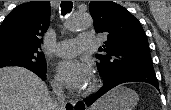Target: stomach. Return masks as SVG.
<instances>
[{
    "label": "stomach",
    "instance_id": "obj_1",
    "mask_svg": "<svg viewBox=\"0 0 171 110\" xmlns=\"http://www.w3.org/2000/svg\"><path fill=\"white\" fill-rule=\"evenodd\" d=\"M102 100L99 110H133L138 102L135 91L119 86L111 90Z\"/></svg>",
    "mask_w": 171,
    "mask_h": 110
}]
</instances>
